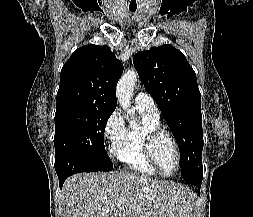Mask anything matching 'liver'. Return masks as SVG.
I'll return each mask as SVG.
<instances>
[{
	"label": "liver",
	"instance_id": "6515ba94",
	"mask_svg": "<svg viewBox=\"0 0 253 217\" xmlns=\"http://www.w3.org/2000/svg\"><path fill=\"white\" fill-rule=\"evenodd\" d=\"M63 194L65 217H182L192 210L182 185L129 172L73 175Z\"/></svg>",
	"mask_w": 253,
	"mask_h": 217
}]
</instances>
